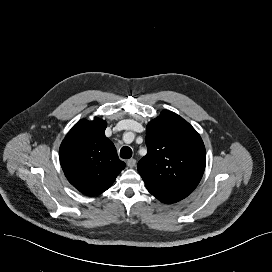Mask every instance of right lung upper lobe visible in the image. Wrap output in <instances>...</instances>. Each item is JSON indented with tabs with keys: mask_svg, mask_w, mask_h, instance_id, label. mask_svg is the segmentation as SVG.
I'll use <instances>...</instances> for the list:
<instances>
[{
	"mask_svg": "<svg viewBox=\"0 0 272 272\" xmlns=\"http://www.w3.org/2000/svg\"><path fill=\"white\" fill-rule=\"evenodd\" d=\"M106 127L100 118L82 119L60 146V163L68 181L89 196L106 191L125 168L114 144L105 136Z\"/></svg>",
	"mask_w": 272,
	"mask_h": 272,
	"instance_id": "1",
	"label": "right lung upper lobe"
}]
</instances>
